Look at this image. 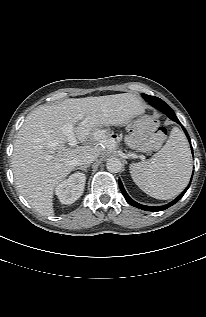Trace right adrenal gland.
Instances as JSON below:
<instances>
[{"mask_svg": "<svg viewBox=\"0 0 206 317\" xmlns=\"http://www.w3.org/2000/svg\"><path fill=\"white\" fill-rule=\"evenodd\" d=\"M90 165H86V166H81V167H78L77 169H80L84 172H87V168L89 167Z\"/></svg>", "mask_w": 206, "mask_h": 317, "instance_id": "2a0ac1e0", "label": "right adrenal gland"}]
</instances>
